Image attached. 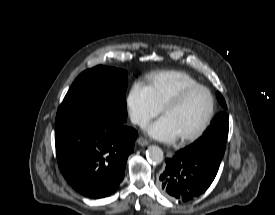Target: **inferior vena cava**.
I'll return each mask as SVG.
<instances>
[{
    "label": "inferior vena cava",
    "mask_w": 275,
    "mask_h": 215,
    "mask_svg": "<svg viewBox=\"0 0 275 215\" xmlns=\"http://www.w3.org/2000/svg\"><path fill=\"white\" fill-rule=\"evenodd\" d=\"M131 121L134 124H141V123L144 122V120L141 117H138V116H132Z\"/></svg>",
    "instance_id": "inferior-vena-cava-1"
}]
</instances>
